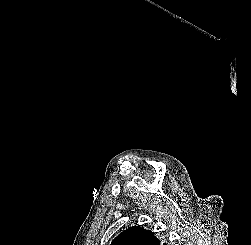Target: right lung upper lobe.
Listing matches in <instances>:
<instances>
[{"mask_svg": "<svg viewBox=\"0 0 251 245\" xmlns=\"http://www.w3.org/2000/svg\"><path fill=\"white\" fill-rule=\"evenodd\" d=\"M161 242L154 236L150 230L140 228L139 226L131 227L119 234L111 245H160ZM165 245V243L163 244Z\"/></svg>", "mask_w": 251, "mask_h": 245, "instance_id": "obj_1", "label": "right lung upper lobe"}]
</instances>
